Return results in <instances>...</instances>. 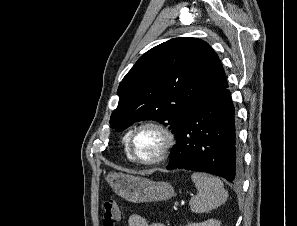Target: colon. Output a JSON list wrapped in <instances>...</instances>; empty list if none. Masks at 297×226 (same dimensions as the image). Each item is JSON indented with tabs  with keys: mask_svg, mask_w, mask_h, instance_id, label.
<instances>
[{
	"mask_svg": "<svg viewBox=\"0 0 297 226\" xmlns=\"http://www.w3.org/2000/svg\"><path fill=\"white\" fill-rule=\"evenodd\" d=\"M102 215L104 226H115L119 222L120 211L115 200L108 199L104 202Z\"/></svg>",
	"mask_w": 297,
	"mask_h": 226,
	"instance_id": "5ec220e1",
	"label": "colon"
}]
</instances>
